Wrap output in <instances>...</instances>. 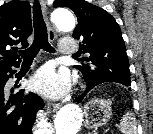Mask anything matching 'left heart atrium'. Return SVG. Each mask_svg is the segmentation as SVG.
Returning a JSON list of instances; mask_svg holds the SVG:
<instances>
[{"label":"left heart atrium","instance_id":"39dd6f15","mask_svg":"<svg viewBox=\"0 0 153 134\" xmlns=\"http://www.w3.org/2000/svg\"><path fill=\"white\" fill-rule=\"evenodd\" d=\"M31 87L50 98H60L69 90L70 81L65 71L46 65L39 69L30 82Z\"/></svg>","mask_w":153,"mask_h":134}]
</instances>
